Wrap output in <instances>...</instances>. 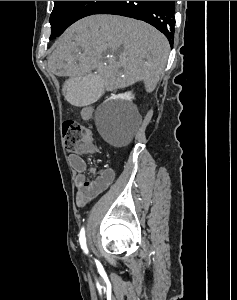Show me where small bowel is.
Wrapping results in <instances>:
<instances>
[{"instance_id": "obj_1", "label": "small bowel", "mask_w": 237, "mask_h": 300, "mask_svg": "<svg viewBox=\"0 0 237 300\" xmlns=\"http://www.w3.org/2000/svg\"><path fill=\"white\" fill-rule=\"evenodd\" d=\"M93 110L94 109L91 105L84 106L81 111L82 118L85 120L90 119L92 117ZM86 153H94V148L91 147ZM69 160L72 167L77 172L75 179L76 203L79 207L85 206L89 201L104 192L115 179V171L110 167H105L99 171L95 179L90 180L85 175L87 168L86 162L80 155L73 154L69 157Z\"/></svg>"}]
</instances>
